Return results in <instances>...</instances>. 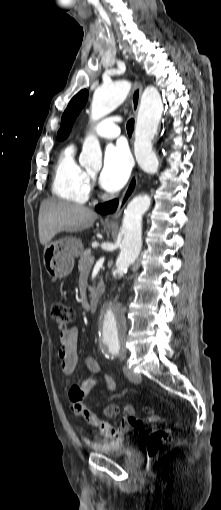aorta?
Here are the masks:
<instances>
[{
  "instance_id": "762f6f07",
  "label": "aorta",
  "mask_w": 221,
  "mask_h": 510,
  "mask_svg": "<svg viewBox=\"0 0 221 510\" xmlns=\"http://www.w3.org/2000/svg\"><path fill=\"white\" fill-rule=\"evenodd\" d=\"M131 82L120 80L98 87L91 103V119L98 120L115 110L126 99ZM163 104L158 90L154 86L145 88L137 116L135 130V156L140 168L149 174L158 171L159 162L152 148V140L157 133L162 117ZM102 152L98 140L86 138L80 157V164L98 168L101 165ZM151 199L148 195H137L127 205L124 212L121 231L124 235L120 245L112 278L122 277L135 262L142 247V216L149 209ZM125 320L122 310L115 303L104 300L99 311V342L104 350L118 349L123 346Z\"/></svg>"
}]
</instances>
